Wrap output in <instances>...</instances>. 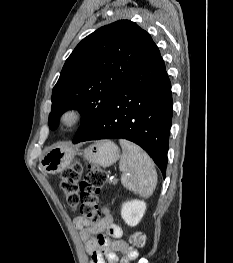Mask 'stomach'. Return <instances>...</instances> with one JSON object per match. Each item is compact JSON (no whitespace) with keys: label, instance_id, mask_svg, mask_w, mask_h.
<instances>
[{"label":"stomach","instance_id":"obj_1","mask_svg":"<svg viewBox=\"0 0 233 263\" xmlns=\"http://www.w3.org/2000/svg\"><path fill=\"white\" fill-rule=\"evenodd\" d=\"M75 150L64 145H54L45 150L40 166L49 174L65 170L73 160ZM119 148L112 141H101L84 150V157L93 164L108 167L119 158Z\"/></svg>","mask_w":233,"mask_h":263}]
</instances>
